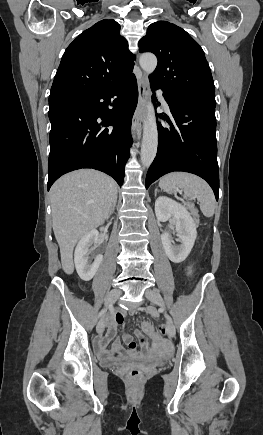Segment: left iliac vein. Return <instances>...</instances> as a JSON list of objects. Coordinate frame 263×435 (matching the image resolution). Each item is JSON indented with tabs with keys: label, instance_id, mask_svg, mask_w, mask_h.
<instances>
[{
	"label": "left iliac vein",
	"instance_id": "obj_1",
	"mask_svg": "<svg viewBox=\"0 0 263 435\" xmlns=\"http://www.w3.org/2000/svg\"><path fill=\"white\" fill-rule=\"evenodd\" d=\"M145 296L149 301L160 306L161 309H164V301H163V298L158 291L148 289L145 292ZM166 329H167V334L169 337L175 336V327L170 320H168L166 323Z\"/></svg>",
	"mask_w": 263,
	"mask_h": 435
}]
</instances>
